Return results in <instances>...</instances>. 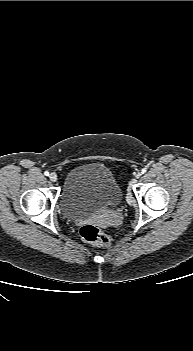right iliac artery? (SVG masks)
Instances as JSON below:
<instances>
[{"instance_id": "right-iliac-artery-1", "label": "right iliac artery", "mask_w": 193, "mask_h": 351, "mask_svg": "<svg viewBox=\"0 0 193 351\" xmlns=\"http://www.w3.org/2000/svg\"><path fill=\"white\" fill-rule=\"evenodd\" d=\"M44 175H45V176H49V172H48V171H45V172H44Z\"/></svg>"}]
</instances>
